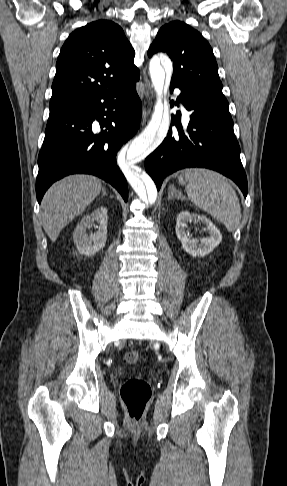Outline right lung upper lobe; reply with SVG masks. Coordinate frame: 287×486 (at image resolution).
Masks as SVG:
<instances>
[{
    "mask_svg": "<svg viewBox=\"0 0 287 486\" xmlns=\"http://www.w3.org/2000/svg\"><path fill=\"white\" fill-rule=\"evenodd\" d=\"M134 55L122 28L112 21L98 20L76 29L57 59L50 111L71 109L138 80Z\"/></svg>",
    "mask_w": 287,
    "mask_h": 486,
    "instance_id": "obj_1",
    "label": "right lung upper lobe"
}]
</instances>
